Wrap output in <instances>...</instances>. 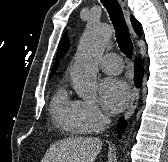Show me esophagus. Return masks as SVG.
Here are the masks:
<instances>
[{
    "mask_svg": "<svg viewBox=\"0 0 168 162\" xmlns=\"http://www.w3.org/2000/svg\"><path fill=\"white\" fill-rule=\"evenodd\" d=\"M118 1H119L120 5H121V7L123 9L125 18H126L128 24H129L132 37L135 39L137 36H136L134 30L132 29V27L130 25L129 9L127 7L126 0H118ZM138 100H139V89H137L136 87H134L130 105H129V107H128L125 115H124L125 120L130 119V117L134 114L135 109H136L137 104H138Z\"/></svg>",
    "mask_w": 168,
    "mask_h": 162,
    "instance_id": "34e87169",
    "label": "esophagus"
}]
</instances>
